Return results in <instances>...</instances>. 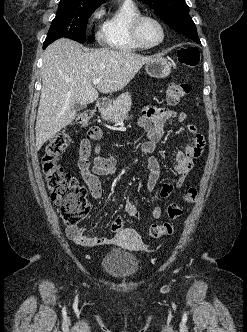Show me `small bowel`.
I'll return each instance as SVG.
<instances>
[{
  "mask_svg": "<svg viewBox=\"0 0 247 332\" xmlns=\"http://www.w3.org/2000/svg\"><path fill=\"white\" fill-rule=\"evenodd\" d=\"M174 119H177L179 122H184L187 119V114L185 112H176L166 107L147 106L145 107L142 116L138 119V125L144 130L147 137V139L141 144L140 150L146 157V166L149 170V179L147 183V189L149 192L154 190L160 176V165L153 154L156 151L158 142L164 135L165 124ZM187 130L191 134L192 142L187 145L184 150L176 153L174 171L179 177L174 185L170 183L163 184L159 193V197L162 200L167 199L171 195L174 187H183L187 175L193 167L194 159L202 154L204 137L198 132L197 127L193 124H189ZM101 138L102 131L100 128L93 127L89 129L86 137L80 143L78 159V169L81 177L87 184L91 195L95 199H99L102 195L99 176H112L116 172L117 167V158L115 156L104 157L100 155L98 142ZM92 143H95V157L93 159V164L91 165L89 158L92 152ZM125 209L130 217H140V211L132 201H126ZM161 213V208L155 207L152 211V216L157 219L161 216ZM66 234L72 242L84 247L104 246L112 244L114 241L113 238L109 237L87 236L85 230L78 225H69L66 229Z\"/></svg>",
  "mask_w": 247,
  "mask_h": 332,
  "instance_id": "1",
  "label": "small bowel"
}]
</instances>
